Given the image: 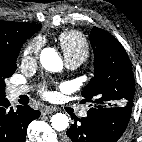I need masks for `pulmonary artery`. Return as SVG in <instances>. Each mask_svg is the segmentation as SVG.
Instances as JSON below:
<instances>
[{
    "instance_id": "1",
    "label": "pulmonary artery",
    "mask_w": 142,
    "mask_h": 142,
    "mask_svg": "<svg viewBox=\"0 0 142 142\" xmlns=\"http://www.w3.org/2000/svg\"><path fill=\"white\" fill-rule=\"evenodd\" d=\"M82 61L77 60V59H66V66L68 69L74 70L78 68L81 65ZM29 90L28 87L26 86H12L9 89V99L10 100H15L17 99L20 95L26 93ZM80 117H86L87 116V111L82 110L79 113Z\"/></svg>"
}]
</instances>
